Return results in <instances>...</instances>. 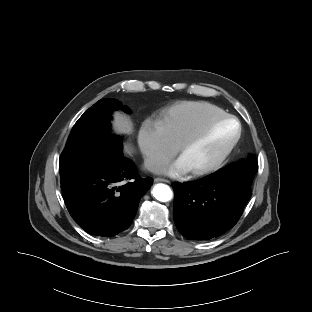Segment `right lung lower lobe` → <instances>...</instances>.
Listing matches in <instances>:
<instances>
[{
	"mask_svg": "<svg viewBox=\"0 0 312 312\" xmlns=\"http://www.w3.org/2000/svg\"><path fill=\"white\" fill-rule=\"evenodd\" d=\"M152 183L150 177L140 178L133 162L118 151L61 187L66 207L81 228L112 237L130 226Z\"/></svg>",
	"mask_w": 312,
	"mask_h": 312,
	"instance_id": "1",
	"label": "right lung lower lobe"
}]
</instances>
